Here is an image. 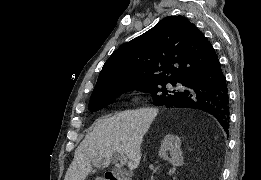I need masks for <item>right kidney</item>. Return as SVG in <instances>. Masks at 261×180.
Here are the masks:
<instances>
[{
    "label": "right kidney",
    "instance_id": "ca27d5eb",
    "mask_svg": "<svg viewBox=\"0 0 261 180\" xmlns=\"http://www.w3.org/2000/svg\"><path fill=\"white\" fill-rule=\"evenodd\" d=\"M168 152L170 158H168ZM159 156L163 158V160H168L173 166H183L184 160L181 152L180 138H178V136H172V134L165 136L161 144Z\"/></svg>",
    "mask_w": 261,
    "mask_h": 180
}]
</instances>
